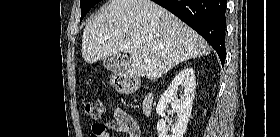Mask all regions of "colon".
Listing matches in <instances>:
<instances>
[{
	"mask_svg": "<svg viewBox=\"0 0 280 137\" xmlns=\"http://www.w3.org/2000/svg\"><path fill=\"white\" fill-rule=\"evenodd\" d=\"M103 105L98 101H90L85 105L86 113L93 119H99L103 114ZM126 124L130 126L133 132H135L136 128L130 119H126Z\"/></svg>",
	"mask_w": 280,
	"mask_h": 137,
	"instance_id": "obj_1",
	"label": "colon"
}]
</instances>
